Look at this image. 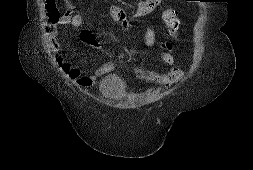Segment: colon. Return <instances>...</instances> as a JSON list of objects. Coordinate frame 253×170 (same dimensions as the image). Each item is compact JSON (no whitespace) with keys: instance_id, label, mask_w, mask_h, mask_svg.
<instances>
[{"instance_id":"1","label":"colon","mask_w":253,"mask_h":170,"mask_svg":"<svg viewBox=\"0 0 253 170\" xmlns=\"http://www.w3.org/2000/svg\"><path fill=\"white\" fill-rule=\"evenodd\" d=\"M46 3L50 5L49 9L47 10L49 14L50 22L51 23L57 22L61 17V13L59 9L57 8L55 0H46ZM173 24L174 26L179 25L178 21H176L175 18H173Z\"/></svg>"}]
</instances>
